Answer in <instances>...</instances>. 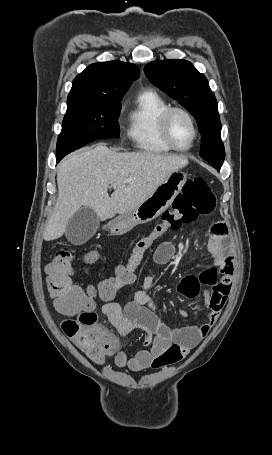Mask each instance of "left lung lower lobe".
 Listing matches in <instances>:
<instances>
[{
    "label": "left lung lower lobe",
    "mask_w": 272,
    "mask_h": 455,
    "mask_svg": "<svg viewBox=\"0 0 272 455\" xmlns=\"http://www.w3.org/2000/svg\"><path fill=\"white\" fill-rule=\"evenodd\" d=\"M214 168H216L218 171L220 170L223 161L221 160H214L209 162Z\"/></svg>",
    "instance_id": "1"
}]
</instances>
